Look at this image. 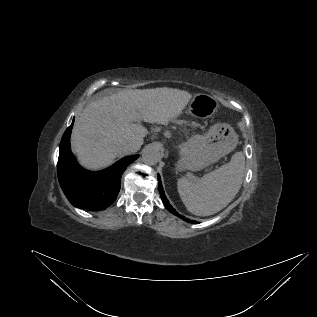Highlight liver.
Segmentation results:
<instances>
[{
  "label": "liver",
  "mask_w": 317,
  "mask_h": 317,
  "mask_svg": "<svg viewBox=\"0 0 317 317\" xmlns=\"http://www.w3.org/2000/svg\"><path fill=\"white\" fill-rule=\"evenodd\" d=\"M192 95L174 88L124 90L89 103L74 122L71 143L82 166L99 169L123 156V142L141 147L147 129L141 121L167 125ZM136 150V151H137Z\"/></svg>",
  "instance_id": "liver-1"
}]
</instances>
